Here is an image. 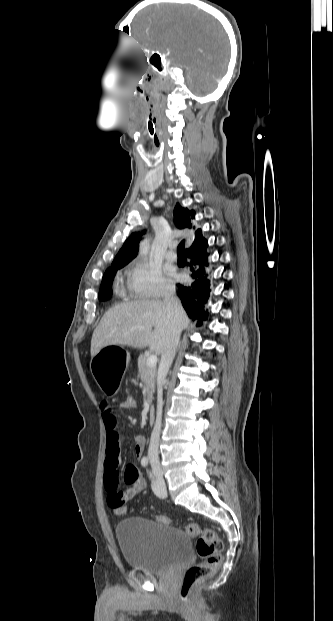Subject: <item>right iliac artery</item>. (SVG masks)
<instances>
[{
    "instance_id": "right-iliac-artery-1",
    "label": "right iliac artery",
    "mask_w": 333,
    "mask_h": 621,
    "mask_svg": "<svg viewBox=\"0 0 333 621\" xmlns=\"http://www.w3.org/2000/svg\"><path fill=\"white\" fill-rule=\"evenodd\" d=\"M141 465H142L143 467H146V466L148 465V458H147L146 456H144V457L141 459Z\"/></svg>"
}]
</instances>
